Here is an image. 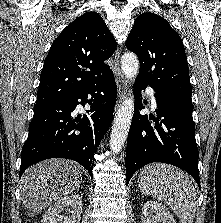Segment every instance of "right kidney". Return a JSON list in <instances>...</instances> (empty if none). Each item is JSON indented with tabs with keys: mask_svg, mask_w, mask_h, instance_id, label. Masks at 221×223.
<instances>
[{
	"mask_svg": "<svg viewBox=\"0 0 221 223\" xmlns=\"http://www.w3.org/2000/svg\"><path fill=\"white\" fill-rule=\"evenodd\" d=\"M66 210L69 216L61 215ZM82 214V198L80 195H70L56 201L48 208L41 223H80Z\"/></svg>",
	"mask_w": 221,
	"mask_h": 223,
	"instance_id": "right-kidney-1",
	"label": "right kidney"
}]
</instances>
